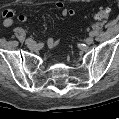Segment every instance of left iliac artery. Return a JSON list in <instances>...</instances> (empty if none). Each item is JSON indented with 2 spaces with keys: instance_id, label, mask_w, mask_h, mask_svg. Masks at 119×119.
I'll return each mask as SVG.
<instances>
[{
  "instance_id": "obj_1",
  "label": "left iliac artery",
  "mask_w": 119,
  "mask_h": 119,
  "mask_svg": "<svg viewBox=\"0 0 119 119\" xmlns=\"http://www.w3.org/2000/svg\"><path fill=\"white\" fill-rule=\"evenodd\" d=\"M89 35H90V36H93V33H92V32H90V33H89Z\"/></svg>"
}]
</instances>
